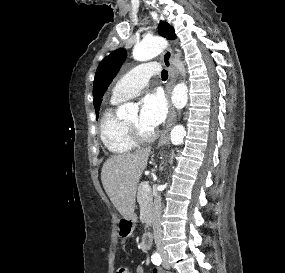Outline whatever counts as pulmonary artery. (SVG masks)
I'll return each instance as SVG.
<instances>
[{
  "mask_svg": "<svg viewBox=\"0 0 285 273\" xmlns=\"http://www.w3.org/2000/svg\"><path fill=\"white\" fill-rule=\"evenodd\" d=\"M160 72L156 62L142 63L124 74L112 90V102H120L138 94L148 83L151 76Z\"/></svg>",
  "mask_w": 285,
  "mask_h": 273,
  "instance_id": "obj_1",
  "label": "pulmonary artery"
}]
</instances>
